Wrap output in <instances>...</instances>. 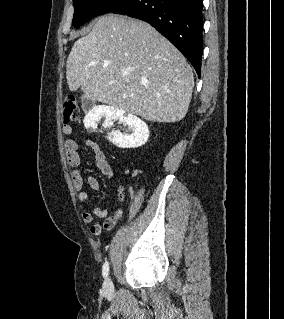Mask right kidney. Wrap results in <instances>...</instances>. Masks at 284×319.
<instances>
[{"instance_id": "obj_1", "label": "right kidney", "mask_w": 284, "mask_h": 319, "mask_svg": "<svg viewBox=\"0 0 284 319\" xmlns=\"http://www.w3.org/2000/svg\"><path fill=\"white\" fill-rule=\"evenodd\" d=\"M105 117L103 126L113 125L115 120L128 126V131L122 133L113 129L109 134V140L120 148H137L144 145L149 137V129L144 121L137 116L127 113L125 110L111 106H95L85 116L86 129L95 130L101 118Z\"/></svg>"}]
</instances>
